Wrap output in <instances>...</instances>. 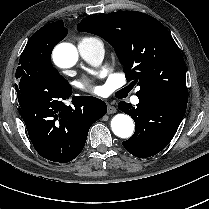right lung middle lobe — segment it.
<instances>
[{
    "instance_id": "right-lung-middle-lobe-1",
    "label": "right lung middle lobe",
    "mask_w": 209,
    "mask_h": 209,
    "mask_svg": "<svg viewBox=\"0 0 209 209\" xmlns=\"http://www.w3.org/2000/svg\"><path fill=\"white\" fill-rule=\"evenodd\" d=\"M58 42L59 39L53 31L45 29L36 31L21 54L16 78L18 80L32 78L61 87L70 85L50 62L52 50Z\"/></svg>"
}]
</instances>
